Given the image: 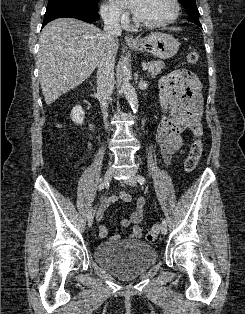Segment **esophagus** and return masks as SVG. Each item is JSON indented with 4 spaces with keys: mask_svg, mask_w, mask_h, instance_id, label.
<instances>
[{
    "mask_svg": "<svg viewBox=\"0 0 245 314\" xmlns=\"http://www.w3.org/2000/svg\"><path fill=\"white\" fill-rule=\"evenodd\" d=\"M124 40H125V42L128 43V44L137 43V40L134 39V38H133L131 35H129V34H126V35L124 36Z\"/></svg>",
    "mask_w": 245,
    "mask_h": 314,
    "instance_id": "obj_1",
    "label": "esophagus"
}]
</instances>
